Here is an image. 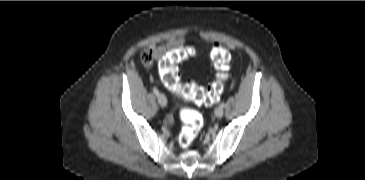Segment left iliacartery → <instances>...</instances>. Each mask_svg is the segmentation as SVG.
Returning <instances> with one entry per match:
<instances>
[{"mask_svg":"<svg viewBox=\"0 0 365 180\" xmlns=\"http://www.w3.org/2000/svg\"><path fill=\"white\" fill-rule=\"evenodd\" d=\"M224 105H225V104H224V102H222V103L220 104V107H222V108H223V107H224Z\"/></svg>","mask_w":365,"mask_h":180,"instance_id":"1","label":"left iliac artery"}]
</instances>
